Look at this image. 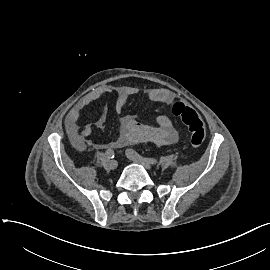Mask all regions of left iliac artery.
I'll return each mask as SVG.
<instances>
[{"label":"left iliac artery","mask_w":270,"mask_h":270,"mask_svg":"<svg viewBox=\"0 0 270 270\" xmlns=\"http://www.w3.org/2000/svg\"><path fill=\"white\" fill-rule=\"evenodd\" d=\"M127 153H129L131 156L138 158V159H144L147 162H149L150 164H156L157 163V159L155 158H148V157H143L140 154H138L135 150L133 149H127L126 150Z\"/></svg>","instance_id":"left-iliac-artery-1"}]
</instances>
